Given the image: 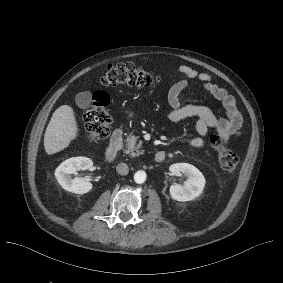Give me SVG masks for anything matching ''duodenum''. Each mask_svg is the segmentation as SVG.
Returning a JSON list of instances; mask_svg holds the SVG:
<instances>
[{"instance_id": "1", "label": "duodenum", "mask_w": 283, "mask_h": 283, "mask_svg": "<svg viewBox=\"0 0 283 283\" xmlns=\"http://www.w3.org/2000/svg\"><path fill=\"white\" fill-rule=\"evenodd\" d=\"M122 130L120 128H117L112 136H111V139H110V143H109V146L107 147L106 149V152H105V158L107 161H113L120 148H121V144H122ZM166 158V153L162 150L160 151H157L154 155V160L157 162V163H160V162H163Z\"/></svg>"}]
</instances>
